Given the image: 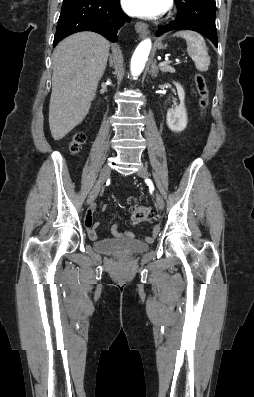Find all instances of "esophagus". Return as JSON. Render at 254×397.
I'll return each instance as SVG.
<instances>
[{
  "label": "esophagus",
  "instance_id": "obj_1",
  "mask_svg": "<svg viewBox=\"0 0 254 397\" xmlns=\"http://www.w3.org/2000/svg\"><path fill=\"white\" fill-rule=\"evenodd\" d=\"M135 30L141 37H145L149 34V26L144 22H137Z\"/></svg>",
  "mask_w": 254,
  "mask_h": 397
}]
</instances>
